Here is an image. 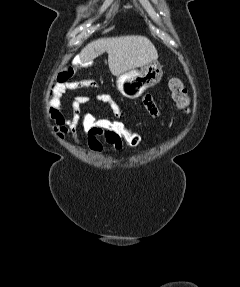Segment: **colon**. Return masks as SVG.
Here are the masks:
<instances>
[{"label": "colon", "instance_id": "1", "mask_svg": "<svg viewBox=\"0 0 240 287\" xmlns=\"http://www.w3.org/2000/svg\"><path fill=\"white\" fill-rule=\"evenodd\" d=\"M73 69L71 67L60 72L56 77V84L63 95L72 91L92 87L95 85L90 80L72 81ZM171 96L176 105L188 111L190 99L187 90L179 77H172L169 81ZM84 95L70 97V117L73 122L87 135H98L106 139L120 141L125 148L131 151L137 150L142 144L143 137L139 132L132 131L123 118L101 117L83 110L86 104L83 101Z\"/></svg>", "mask_w": 240, "mask_h": 287}]
</instances>
